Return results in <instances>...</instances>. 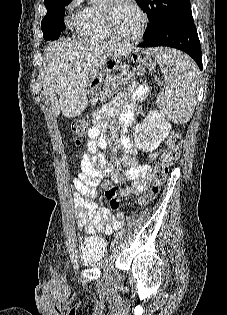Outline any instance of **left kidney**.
Here are the masks:
<instances>
[{"label":"left kidney","mask_w":227,"mask_h":315,"mask_svg":"<svg viewBox=\"0 0 227 315\" xmlns=\"http://www.w3.org/2000/svg\"><path fill=\"white\" fill-rule=\"evenodd\" d=\"M171 124L158 111H150L143 123L134 128V141L142 151L152 152L168 136Z\"/></svg>","instance_id":"1"}]
</instances>
